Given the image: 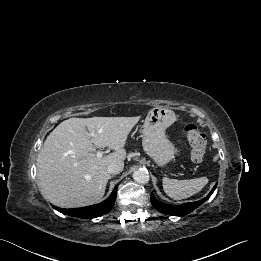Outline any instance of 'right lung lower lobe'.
Returning a JSON list of instances; mask_svg holds the SVG:
<instances>
[{"label": "right lung lower lobe", "mask_w": 261, "mask_h": 261, "mask_svg": "<svg viewBox=\"0 0 261 261\" xmlns=\"http://www.w3.org/2000/svg\"><path fill=\"white\" fill-rule=\"evenodd\" d=\"M116 195H117V187L114 188L112 194L107 200L99 204L86 206L82 208H74V209H62V208H56L55 206L53 207L59 212L69 216L91 219L108 213L114 205Z\"/></svg>", "instance_id": "right-lung-lower-lobe-1"}]
</instances>
